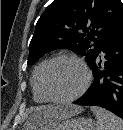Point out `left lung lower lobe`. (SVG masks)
<instances>
[{"label": "left lung lower lobe", "mask_w": 123, "mask_h": 130, "mask_svg": "<svg viewBox=\"0 0 123 130\" xmlns=\"http://www.w3.org/2000/svg\"><path fill=\"white\" fill-rule=\"evenodd\" d=\"M91 67L94 82L74 104L100 106L123 119V19L103 44Z\"/></svg>", "instance_id": "1"}]
</instances>
